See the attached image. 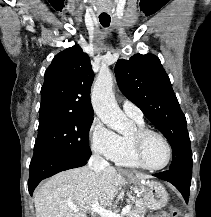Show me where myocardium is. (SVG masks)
Instances as JSON below:
<instances>
[{"mask_svg":"<svg viewBox=\"0 0 211 217\" xmlns=\"http://www.w3.org/2000/svg\"><path fill=\"white\" fill-rule=\"evenodd\" d=\"M152 135L160 137L164 141L167 147V151H168V157H167L166 162L163 165L158 166V167L150 166L146 162L145 157H144L145 142ZM131 145H132L133 155L136 161L141 167L147 170H151V171L163 170L170 164L172 160L173 152H172L171 144L169 140L167 139V137L159 131L148 129V128L137 129L135 133L131 135Z\"/></svg>","mask_w":211,"mask_h":217,"instance_id":"1","label":"myocardium"}]
</instances>
